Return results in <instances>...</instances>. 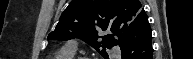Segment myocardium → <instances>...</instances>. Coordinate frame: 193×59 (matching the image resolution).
Returning <instances> with one entry per match:
<instances>
[{
    "instance_id": "myocardium-1",
    "label": "myocardium",
    "mask_w": 193,
    "mask_h": 59,
    "mask_svg": "<svg viewBox=\"0 0 193 59\" xmlns=\"http://www.w3.org/2000/svg\"><path fill=\"white\" fill-rule=\"evenodd\" d=\"M72 59H91V58H89V57H85V56H79V57L72 58Z\"/></svg>"
}]
</instances>
